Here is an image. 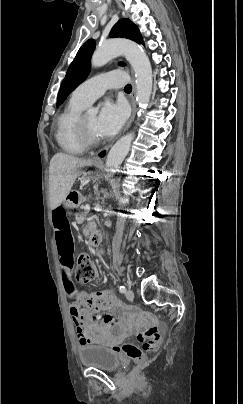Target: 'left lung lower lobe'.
<instances>
[{
  "label": "left lung lower lobe",
  "mask_w": 243,
  "mask_h": 404,
  "mask_svg": "<svg viewBox=\"0 0 243 404\" xmlns=\"http://www.w3.org/2000/svg\"><path fill=\"white\" fill-rule=\"evenodd\" d=\"M104 154H105V152H102V153L100 154V156H101V157H103V156H104Z\"/></svg>",
  "instance_id": "1"
}]
</instances>
